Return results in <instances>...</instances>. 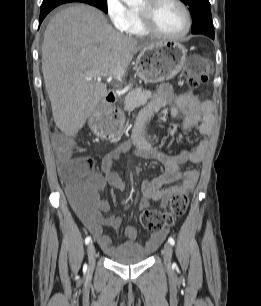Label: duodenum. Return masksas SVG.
I'll use <instances>...</instances> for the list:
<instances>
[{
  "label": "duodenum",
  "mask_w": 261,
  "mask_h": 306,
  "mask_svg": "<svg viewBox=\"0 0 261 306\" xmlns=\"http://www.w3.org/2000/svg\"><path fill=\"white\" fill-rule=\"evenodd\" d=\"M115 101H116V94L112 90H109L104 99V105L106 107L111 106L113 105V103H115Z\"/></svg>",
  "instance_id": "obj_1"
}]
</instances>
